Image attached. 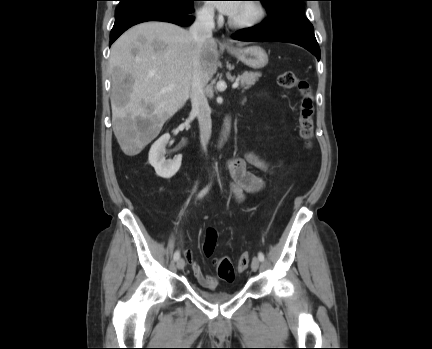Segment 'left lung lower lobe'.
I'll return each instance as SVG.
<instances>
[{
    "mask_svg": "<svg viewBox=\"0 0 432 349\" xmlns=\"http://www.w3.org/2000/svg\"><path fill=\"white\" fill-rule=\"evenodd\" d=\"M234 39L255 42H286L304 47L320 59L312 24L306 17L277 14L254 27L237 31Z\"/></svg>",
    "mask_w": 432,
    "mask_h": 349,
    "instance_id": "0a47b994",
    "label": "left lung lower lobe"
}]
</instances>
